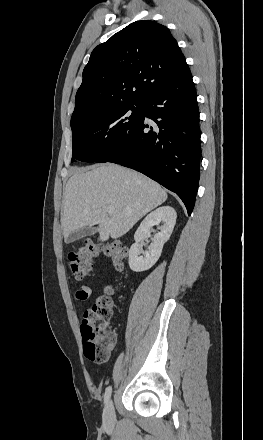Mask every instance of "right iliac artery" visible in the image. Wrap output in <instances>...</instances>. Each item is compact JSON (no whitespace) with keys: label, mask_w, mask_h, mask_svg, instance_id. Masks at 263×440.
<instances>
[{"label":"right iliac artery","mask_w":263,"mask_h":440,"mask_svg":"<svg viewBox=\"0 0 263 440\" xmlns=\"http://www.w3.org/2000/svg\"><path fill=\"white\" fill-rule=\"evenodd\" d=\"M111 392H112V387L111 386L107 387L104 394V403H107L109 401Z\"/></svg>","instance_id":"obj_1"}]
</instances>
